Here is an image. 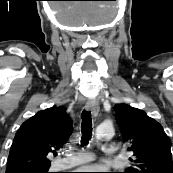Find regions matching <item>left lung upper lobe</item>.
<instances>
[{
	"instance_id": "1",
	"label": "left lung upper lobe",
	"mask_w": 173,
	"mask_h": 173,
	"mask_svg": "<svg viewBox=\"0 0 173 173\" xmlns=\"http://www.w3.org/2000/svg\"><path fill=\"white\" fill-rule=\"evenodd\" d=\"M114 110L123 140L133 153L132 166L124 173H173L171 145L161 124L127 104H116Z\"/></svg>"
}]
</instances>
